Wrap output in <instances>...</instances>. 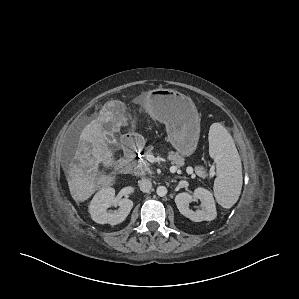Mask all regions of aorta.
<instances>
[{
    "instance_id": "762f6f07",
    "label": "aorta",
    "mask_w": 299,
    "mask_h": 299,
    "mask_svg": "<svg viewBox=\"0 0 299 299\" xmlns=\"http://www.w3.org/2000/svg\"><path fill=\"white\" fill-rule=\"evenodd\" d=\"M156 193L160 197H164L167 194V188L165 186H158Z\"/></svg>"
}]
</instances>
